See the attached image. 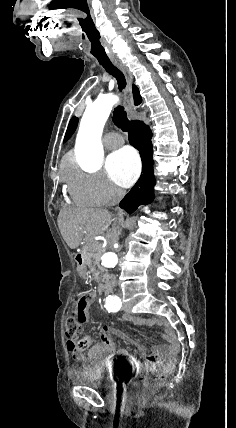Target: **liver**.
I'll use <instances>...</instances> for the list:
<instances>
[{
  "label": "liver",
  "instance_id": "obj_1",
  "mask_svg": "<svg viewBox=\"0 0 236 428\" xmlns=\"http://www.w3.org/2000/svg\"><path fill=\"white\" fill-rule=\"evenodd\" d=\"M114 222L112 214L108 210H61L58 216V228L71 250L78 248L82 240L87 244H95L94 238L105 234L109 238V244H116L119 238L117 228L108 230Z\"/></svg>",
  "mask_w": 236,
  "mask_h": 428
}]
</instances>
